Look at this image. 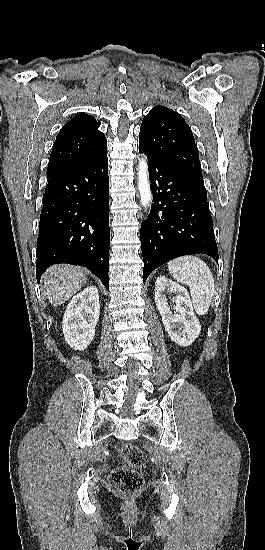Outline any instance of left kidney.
I'll use <instances>...</instances> for the list:
<instances>
[{
  "instance_id": "left-kidney-1",
  "label": "left kidney",
  "mask_w": 265,
  "mask_h": 550,
  "mask_svg": "<svg viewBox=\"0 0 265 550\" xmlns=\"http://www.w3.org/2000/svg\"><path fill=\"white\" fill-rule=\"evenodd\" d=\"M175 293V311L168 306L165 291ZM155 302L162 322L170 338L180 346H189L201 331L200 322L194 314L187 290L172 280L160 276L155 284Z\"/></svg>"
}]
</instances>
